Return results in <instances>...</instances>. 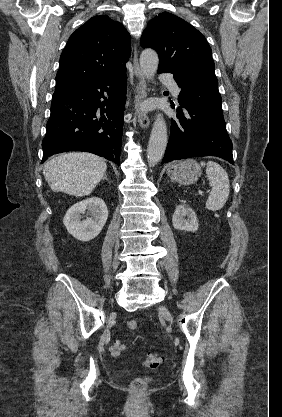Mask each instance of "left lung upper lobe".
I'll return each instance as SVG.
<instances>
[{
    "instance_id": "left-lung-upper-lobe-1",
    "label": "left lung upper lobe",
    "mask_w": 282,
    "mask_h": 417,
    "mask_svg": "<svg viewBox=\"0 0 282 417\" xmlns=\"http://www.w3.org/2000/svg\"><path fill=\"white\" fill-rule=\"evenodd\" d=\"M140 45L151 47L159 55L158 71L182 75L215 76L212 50L205 37L183 19L163 12L144 30Z\"/></svg>"
}]
</instances>
